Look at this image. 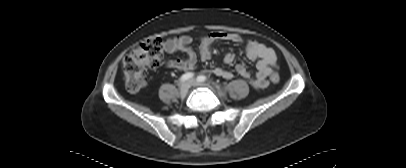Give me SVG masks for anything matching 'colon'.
<instances>
[{"instance_id":"5ec220e1","label":"colon","mask_w":406,"mask_h":168,"mask_svg":"<svg viewBox=\"0 0 406 168\" xmlns=\"http://www.w3.org/2000/svg\"><path fill=\"white\" fill-rule=\"evenodd\" d=\"M164 42L159 37L149 38L140 43L123 59L122 72L125 88L130 93H137L146 85L148 68H157L162 61ZM272 83L277 84L280 76L272 71Z\"/></svg>"}]
</instances>
